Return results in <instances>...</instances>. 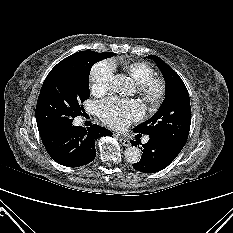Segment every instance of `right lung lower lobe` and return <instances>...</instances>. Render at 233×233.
Returning a JSON list of instances; mask_svg holds the SVG:
<instances>
[{"label":"right lung lower lobe","mask_w":233,"mask_h":233,"mask_svg":"<svg viewBox=\"0 0 233 233\" xmlns=\"http://www.w3.org/2000/svg\"><path fill=\"white\" fill-rule=\"evenodd\" d=\"M112 134L108 129L93 124L88 129L70 125L66 129L40 134V136L54 161L66 167H79L95 159L96 139Z\"/></svg>","instance_id":"obj_1"}]
</instances>
